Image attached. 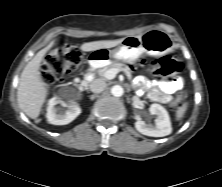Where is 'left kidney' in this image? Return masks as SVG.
Masks as SVG:
<instances>
[{
    "mask_svg": "<svg viewBox=\"0 0 222 187\" xmlns=\"http://www.w3.org/2000/svg\"><path fill=\"white\" fill-rule=\"evenodd\" d=\"M149 111L152 115H156L155 125L146 124L139 119L135 122V128L141 134L151 137H163L171 134L172 126L167 110L160 104H151Z\"/></svg>",
    "mask_w": 222,
    "mask_h": 187,
    "instance_id": "1",
    "label": "left kidney"
}]
</instances>
